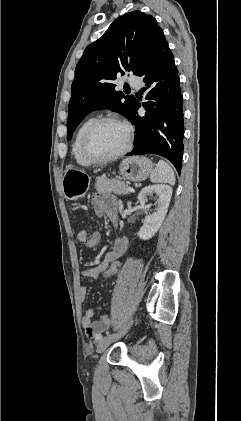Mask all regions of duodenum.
I'll return each mask as SVG.
<instances>
[{"label": "duodenum", "instance_id": "1", "mask_svg": "<svg viewBox=\"0 0 241 421\" xmlns=\"http://www.w3.org/2000/svg\"><path fill=\"white\" fill-rule=\"evenodd\" d=\"M112 220H114V221H115V220H116V218H113Z\"/></svg>", "mask_w": 241, "mask_h": 421}]
</instances>
